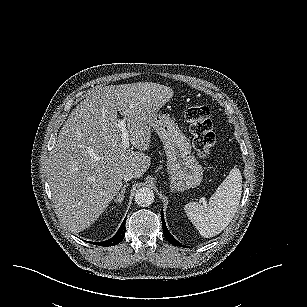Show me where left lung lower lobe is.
Wrapping results in <instances>:
<instances>
[{
  "mask_svg": "<svg viewBox=\"0 0 307 307\" xmlns=\"http://www.w3.org/2000/svg\"><path fill=\"white\" fill-rule=\"evenodd\" d=\"M161 220H162V227H163V233L165 238L173 245L175 246H180V247H184L180 242H178L168 231L165 221H164V216H163V210L161 211Z\"/></svg>",
  "mask_w": 307,
  "mask_h": 307,
  "instance_id": "0a47b994",
  "label": "left lung lower lobe"
}]
</instances>
